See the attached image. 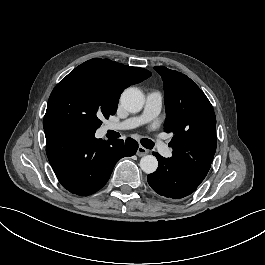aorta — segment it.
Masks as SVG:
<instances>
[{"instance_id":"aorta-1","label":"aorta","mask_w":265,"mask_h":265,"mask_svg":"<svg viewBox=\"0 0 265 265\" xmlns=\"http://www.w3.org/2000/svg\"><path fill=\"white\" fill-rule=\"evenodd\" d=\"M145 102L143 93L135 87H129L124 90L120 97V103L125 110L130 113L139 112ZM140 168L146 174L155 172L158 168V161L153 155L143 156L140 160Z\"/></svg>"}]
</instances>
